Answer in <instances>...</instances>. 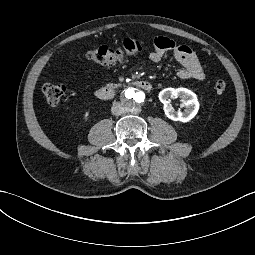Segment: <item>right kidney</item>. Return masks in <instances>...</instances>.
Instances as JSON below:
<instances>
[{
  "label": "right kidney",
  "mask_w": 255,
  "mask_h": 255,
  "mask_svg": "<svg viewBox=\"0 0 255 255\" xmlns=\"http://www.w3.org/2000/svg\"><path fill=\"white\" fill-rule=\"evenodd\" d=\"M88 115H89V113L87 112V113L85 114V117H88Z\"/></svg>",
  "instance_id": "1"
}]
</instances>
